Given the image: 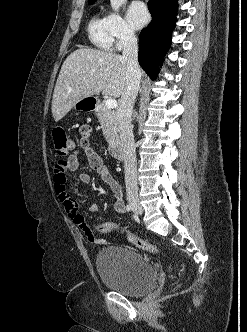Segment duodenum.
Masks as SVG:
<instances>
[{"label":"duodenum","mask_w":247,"mask_h":332,"mask_svg":"<svg viewBox=\"0 0 247 332\" xmlns=\"http://www.w3.org/2000/svg\"><path fill=\"white\" fill-rule=\"evenodd\" d=\"M94 104V102H93ZM110 154L112 157L116 159H123L124 158V148L120 141H115L110 145Z\"/></svg>","instance_id":"1"}]
</instances>
